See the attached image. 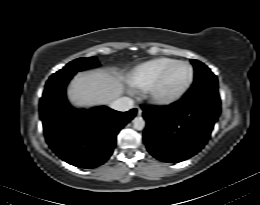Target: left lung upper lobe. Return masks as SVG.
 <instances>
[{
    "instance_id": "obj_1",
    "label": "left lung upper lobe",
    "mask_w": 260,
    "mask_h": 205,
    "mask_svg": "<svg viewBox=\"0 0 260 205\" xmlns=\"http://www.w3.org/2000/svg\"><path fill=\"white\" fill-rule=\"evenodd\" d=\"M195 69V79L186 97H204L220 103L218 81L216 76L203 63L192 60Z\"/></svg>"
}]
</instances>
